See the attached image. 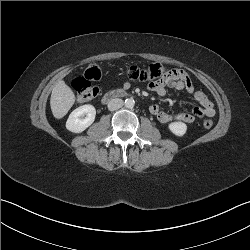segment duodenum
Wrapping results in <instances>:
<instances>
[{
	"mask_svg": "<svg viewBox=\"0 0 250 250\" xmlns=\"http://www.w3.org/2000/svg\"><path fill=\"white\" fill-rule=\"evenodd\" d=\"M127 93L123 90H113V91H109L107 93L104 94V96L102 97V102L103 103H108L114 99L120 98V97H124L126 96Z\"/></svg>",
	"mask_w": 250,
	"mask_h": 250,
	"instance_id": "obj_1",
	"label": "duodenum"
}]
</instances>
